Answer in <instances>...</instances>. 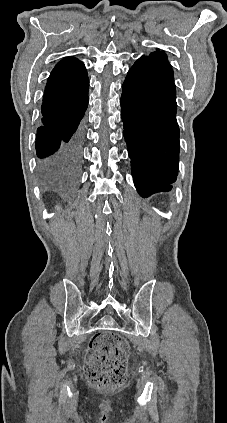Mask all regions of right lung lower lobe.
<instances>
[{
	"label": "right lung lower lobe",
	"instance_id": "right-lung-lower-lobe-1",
	"mask_svg": "<svg viewBox=\"0 0 227 423\" xmlns=\"http://www.w3.org/2000/svg\"><path fill=\"white\" fill-rule=\"evenodd\" d=\"M88 92L68 98L46 97L37 130L36 152L45 187L67 191L78 177L83 131L80 121L88 106Z\"/></svg>",
	"mask_w": 227,
	"mask_h": 423
}]
</instances>
